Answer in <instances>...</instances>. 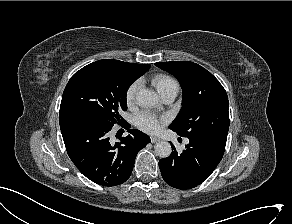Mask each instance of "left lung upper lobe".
I'll return each instance as SVG.
<instances>
[{
	"instance_id": "left-lung-upper-lobe-1",
	"label": "left lung upper lobe",
	"mask_w": 292,
	"mask_h": 224,
	"mask_svg": "<svg viewBox=\"0 0 292 224\" xmlns=\"http://www.w3.org/2000/svg\"><path fill=\"white\" fill-rule=\"evenodd\" d=\"M155 65L174 75L182 87V108L169 128L182 137L226 144L229 102L220 82L193 62L171 61Z\"/></svg>"
}]
</instances>
